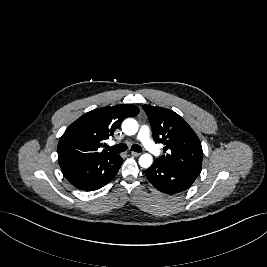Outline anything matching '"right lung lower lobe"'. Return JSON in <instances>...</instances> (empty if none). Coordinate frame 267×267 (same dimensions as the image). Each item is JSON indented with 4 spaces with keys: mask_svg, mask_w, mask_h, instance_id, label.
<instances>
[{
    "mask_svg": "<svg viewBox=\"0 0 267 267\" xmlns=\"http://www.w3.org/2000/svg\"><path fill=\"white\" fill-rule=\"evenodd\" d=\"M123 159L120 155L96 158L62 167L66 179L76 188L94 191L108 184L117 174Z\"/></svg>",
    "mask_w": 267,
    "mask_h": 267,
    "instance_id": "98d812e1",
    "label": "right lung lower lobe"
}]
</instances>
